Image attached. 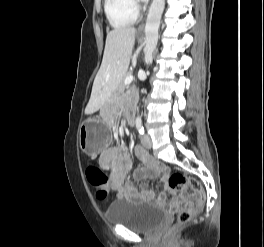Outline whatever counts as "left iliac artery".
I'll return each instance as SVG.
<instances>
[{
  "mask_svg": "<svg viewBox=\"0 0 264 247\" xmlns=\"http://www.w3.org/2000/svg\"><path fill=\"white\" fill-rule=\"evenodd\" d=\"M136 128L141 135L144 134V127L141 119L136 120Z\"/></svg>",
  "mask_w": 264,
  "mask_h": 247,
  "instance_id": "left-iliac-artery-1",
  "label": "left iliac artery"
}]
</instances>
